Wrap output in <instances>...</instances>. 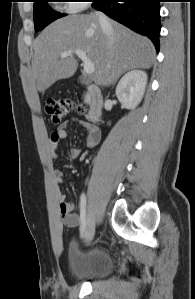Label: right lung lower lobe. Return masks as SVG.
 <instances>
[{"label": "right lung lower lobe", "instance_id": "obj_1", "mask_svg": "<svg viewBox=\"0 0 195 299\" xmlns=\"http://www.w3.org/2000/svg\"><path fill=\"white\" fill-rule=\"evenodd\" d=\"M95 9L152 40L159 51L160 0H94Z\"/></svg>", "mask_w": 195, "mask_h": 299}]
</instances>
